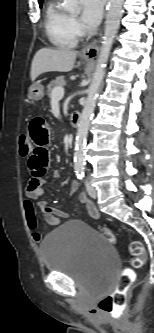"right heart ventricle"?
Here are the masks:
<instances>
[{
    "mask_svg": "<svg viewBox=\"0 0 154 333\" xmlns=\"http://www.w3.org/2000/svg\"><path fill=\"white\" fill-rule=\"evenodd\" d=\"M45 31L57 48H72L78 43V35L72 27V17L61 6L60 0H51L45 12Z\"/></svg>",
    "mask_w": 154,
    "mask_h": 333,
    "instance_id": "e07e8e85",
    "label": "right heart ventricle"
}]
</instances>
